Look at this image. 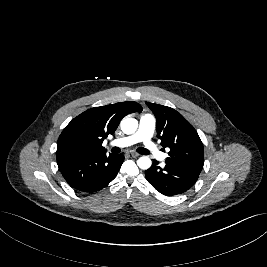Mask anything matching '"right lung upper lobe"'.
<instances>
[{
	"label": "right lung upper lobe",
	"instance_id": "1",
	"mask_svg": "<svg viewBox=\"0 0 267 267\" xmlns=\"http://www.w3.org/2000/svg\"><path fill=\"white\" fill-rule=\"evenodd\" d=\"M141 105L134 101L91 108L75 117L64 128L57 142V159L105 153L102 142L117 129L121 119L140 112Z\"/></svg>",
	"mask_w": 267,
	"mask_h": 267
}]
</instances>
